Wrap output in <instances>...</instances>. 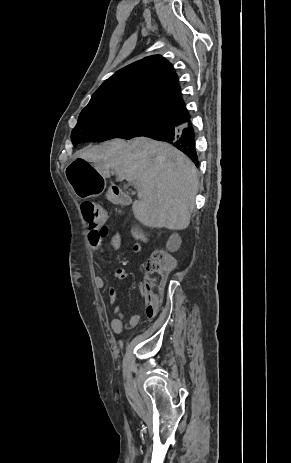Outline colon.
I'll return each instance as SVG.
<instances>
[{"mask_svg":"<svg viewBox=\"0 0 291 463\" xmlns=\"http://www.w3.org/2000/svg\"><path fill=\"white\" fill-rule=\"evenodd\" d=\"M81 210L91 231H98L103 228L107 219V212L102 205L93 201H85L81 205ZM134 235L138 238H144V234L138 230L134 231ZM173 267V257L162 250L152 252L146 261L142 293L145 296V311L152 317L157 312L167 274Z\"/></svg>","mask_w":291,"mask_h":463,"instance_id":"obj_1","label":"colon"}]
</instances>
